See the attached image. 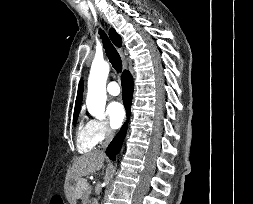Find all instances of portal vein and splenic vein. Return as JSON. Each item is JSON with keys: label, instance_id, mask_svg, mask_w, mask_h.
<instances>
[{"label": "portal vein and splenic vein", "instance_id": "obj_1", "mask_svg": "<svg viewBox=\"0 0 253 204\" xmlns=\"http://www.w3.org/2000/svg\"><path fill=\"white\" fill-rule=\"evenodd\" d=\"M89 186V184H85V187H88Z\"/></svg>", "mask_w": 253, "mask_h": 204}]
</instances>
